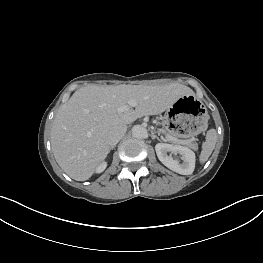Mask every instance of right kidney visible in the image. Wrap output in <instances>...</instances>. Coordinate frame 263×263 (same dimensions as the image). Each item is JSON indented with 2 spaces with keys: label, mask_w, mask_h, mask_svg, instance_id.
I'll use <instances>...</instances> for the list:
<instances>
[{
  "label": "right kidney",
  "mask_w": 263,
  "mask_h": 263,
  "mask_svg": "<svg viewBox=\"0 0 263 263\" xmlns=\"http://www.w3.org/2000/svg\"><path fill=\"white\" fill-rule=\"evenodd\" d=\"M107 167L106 162H102L97 168H96V173H101L103 172Z\"/></svg>",
  "instance_id": "ca27d5eb"
}]
</instances>
